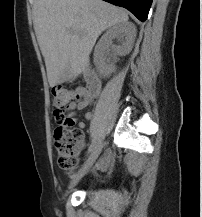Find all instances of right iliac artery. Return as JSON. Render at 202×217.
I'll list each match as a JSON object with an SVG mask.
<instances>
[{
    "mask_svg": "<svg viewBox=\"0 0 202 217\" xmlns=\"http://www.w3.org/2000/svg\"><path fill=\"white\" fill-rule=\"evenodd\" d=\"M95 147V141L91 143V145L88 148V152L87 155H89L90 153H92V151L94 150Z\"/></svg>",
    "mask_w": 202,
    "mask_h": 217,
    "instance_id": "obj_1",
    "label": "right iliac artery"
}]
</instances>
